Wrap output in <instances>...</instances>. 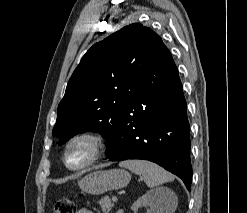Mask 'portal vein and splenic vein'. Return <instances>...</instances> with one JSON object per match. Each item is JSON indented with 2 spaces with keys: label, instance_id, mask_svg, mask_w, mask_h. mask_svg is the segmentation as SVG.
<instances>
[{
  "label": "portal vein and splenic vein",
  "instance_id": "1",
  "mask_svg": "<svg viewBox=\"0 0 247 213\" xmlns=\"http://www.w3.org/2000/svg\"><path fill=\"white\" fill-rule=\"evenodd\" d=\"M112 200H113V201H117V196H116V195H113V196H112Z\"/></svg>",
  "mask_w": 247,
  "mask_h": 213
}]
</instances>
